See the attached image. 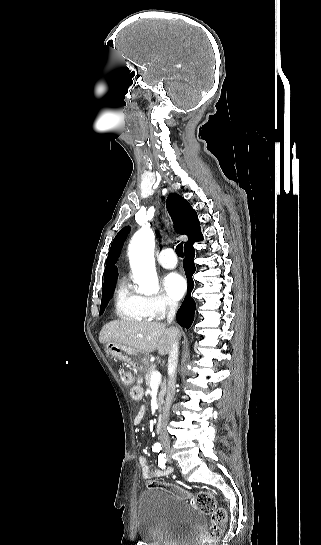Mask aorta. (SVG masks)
<instances>
[{
	"mask_svg": "<svg viewBox=\"0 0 321 545\" xmlns=\"http://www.w3.org/2000/svg\"><path fill=\"white\" fill-rule=\"evenodd\" d=\"M154 233L149 226L134 234L129 244L130 266L140 293L158 292V279L154 263Z\"/></svg>",
	"mask_w": 321,
	"mask_h": 545,
	"instance_id": "1",
	"label": "aorta"
}]
</instances>
